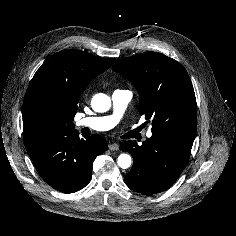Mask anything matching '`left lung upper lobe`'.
<instances>
[{"label":"left lung upper lobe","instance_id":"5c2ea615","mask_svg":"<svg viewBox=\"0 0 236 236\" xmlns=\"http://www.w3.org/2000/svg\"><path fill=\"white\" fill-rule=\"evenodd\" d=\"M113 70L134 82L140 95V115L152 123V134L195 138V93L179 62L161 53L146 52L118 60Z\"/></svg>","mask_w":236,"mask_h":236}]
</instances>
